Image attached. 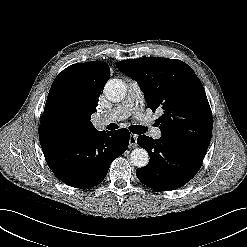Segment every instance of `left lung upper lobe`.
Listing matches in <instances>:
<instances>
[{"label": "left lung upper lobe", "instance_id": "left-lung-upper-lobe-1", "mask_svg": "<svg viewBox=\"0 0 247 247\" xmlns=\"http://www.w3.org/2000/svg\"><path fill=\"white\" fill-rule=\"evenodd\" d=\"M120 71L138 81L162 135L209 145L213 118L203 85L186 63L159 57L122 60Z\"/></svg>", "mask_w": 247, "mask_h": 247}]
</instances>
